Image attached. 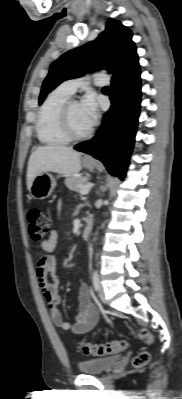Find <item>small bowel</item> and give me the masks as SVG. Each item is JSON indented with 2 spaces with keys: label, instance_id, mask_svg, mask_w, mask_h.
Listing matches in <instances>:
<instances>
[{
  "label": "small bowel",
  "instance_id": "obj_1",
  "mask_svg": "<svg viewBox=\"0 0 182 399\" xmlns=\"http://www.w3.org/2000/svg\"><path fill=\"white\" fill-rule=\"evenodd\" d=\"M58 242L57 231H51L50 235L41 242V248L46 254L40 256L36 262V274L40 289L49 308L52 322L62 330H72L76 334H85L98 322V312L94 306L86 283L79 287V305L75 322L65 321L58 309L61 302L59 294V280L56 276L57 259L51 254ZM51 278V280L49 279Z\"/></svg>",
  "mask_w": 182,
  "mask_h": 399
}]
</instances>
